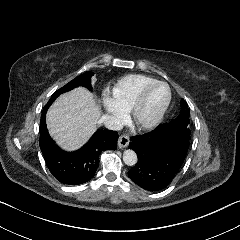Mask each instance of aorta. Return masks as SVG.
<instances>
[{
	"label": "aorta",
	"mask_w": 240,
	"mask_h": 240,
	"mask_svg": "<svg viewBox=\"0 0 240 240\" xmlns=\"http://www.w3.org/2000/svg\"><path fill=\"white\" fill-rule=\"evenodd\" d=\"M123 161L128 166L135 165L137 163L136 153L131 149L125 150L123 153Z\"/></svg>",
	"instance_id": "1"
}]
</instances>
